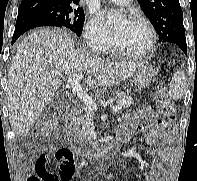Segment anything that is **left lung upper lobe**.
Instances as JSON below:
<instances>
[{
  "label": "left lung upper lobe",
  "instance_id": "obj_1",
  "mask_svg": "<svg viewBox=\"0 0 197 181\" xmlns=\"http://www.w3.org/2000/svg\"><path fill=\"white\" fill-rule=\"evenodd\" d=\"M144 14L153 24L159 42H185L183 12L179 0H138Z\"/></svg>",
  "mask_w": 197,
  "mask_h": 181
}]
</instances>
